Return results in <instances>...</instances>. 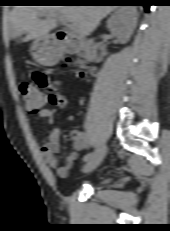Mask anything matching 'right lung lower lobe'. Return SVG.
I'll return each instance as SVG.
<instances>
[{
    "instance_id": "obj_1",
    "label": "right lung lower lobe",
    "mask_w": 170,
    "mask_h": 231,
    "mask_svg": "<svg viewBox=\"0 0 170 231\" xmlns=\"http://www.w3.org/2000/svg\"><path fill=\"white\" fill-rule=\"evenodd\" d=\"M140 2H142V3L137 4V5H143L145 10L148 11L150 6H149V4H147V1L146 0H141Z\"/></svg>"
}]
</instances>
